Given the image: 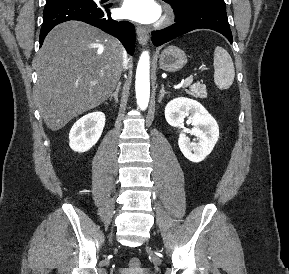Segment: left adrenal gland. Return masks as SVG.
<instances>
[{
	"label": "left adrenal gland",
	"instance_id": "a2214340",
	"mask_svg": "<svg viewBox=\"0 0 289 274\" xmlns=\"http://www.w3.org/2000/svg\"><path fill=\"white\" fill-rule=\"evenodd\" d=\"M165 94H168V92H166L165 90H164V85H161V90H160V92H159V103H161V101H162V99H163V97H164V95Z\"/></svg>",
	"mask_w": 289,
	"mask_h": 274
}]
</instances>
